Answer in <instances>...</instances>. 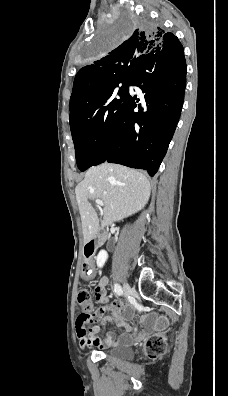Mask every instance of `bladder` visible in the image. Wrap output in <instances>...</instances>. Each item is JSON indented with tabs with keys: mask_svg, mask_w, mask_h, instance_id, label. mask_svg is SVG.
Masks as SVG:
<instances>
[{
	"mask_svg": "<svg viewBox=\"0 0 228 396\" xmlns=\"http://www.w3.org/2000/svg\"><path fill=\"white\" fill-rule=\"evenodd\" d=\"M105 353L111 358L122 361H129L134 358L133 348L127 345L114 346L112 348L105 350Z\"/></svg>",
	"mask_w": 228,
	"mask_h": 396,
	"instance_id": "obj_1",
	"label": "bladder"
}]
</instances>
